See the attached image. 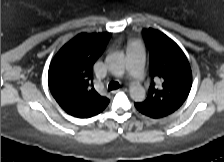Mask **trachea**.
Returning a JSON list of instances; mask_svg holds the SVG:
<instances>
[{
    "label": "trachea",
    "mask_w": 224,
    "mask_h": 162,
    "mask_svg": "<svg viewBox=\"0 0 224 162\" xmlns=\"http://www.w3.org/2000/svg\"><path fill=\"white\" fill-rule=\"evenodd\" d=\"M119 87H120V84L118 82H116V81H112L108 85L109 91L118 89Z\"/></svg>",
    "instance_id": "1"
}]
</instances>
